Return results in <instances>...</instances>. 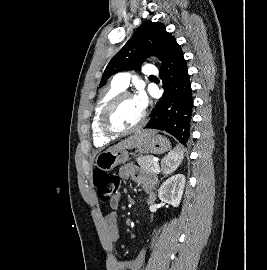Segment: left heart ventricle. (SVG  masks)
<instances>
[{
	"label": "left heart ventricle",
	"mask_w": 267,
	"mask_h": 270,
	"mask_svg": "<svg viewBox=\"0 0 267 270\" xmlns=\"http://www.w3.org/2000/svg\"><path fill=\"white\" fill-rule=\"evenodd\" d=\"M143 111L139 108L134 98L123 100L112 115V124L116 129H129L141 120Z\"/></svg>",
	"instance_id": "obj_1"
}]
</instances>
